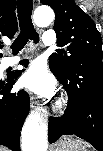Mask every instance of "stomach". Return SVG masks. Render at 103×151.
Masks as SVG:
<instances>
[{"mask_svg":"<svg viewBox=\"0 0 103 151\" xmlns=\"http://www.w3.org/2000/svg\"><path fill=\"white\" fill-rule=\"evenodd\" d=\"M53 151H83V147L79 140L64 136L55 144Z\"/></svg>","mask_w":103,"mask_h":151,"instance_id":"1","label":"stomach"}]
</instances>
